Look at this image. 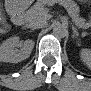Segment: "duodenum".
<instances>
[{"mask_svg":"<svg viewBox=\"0 0 91 91\" xmlns=\"http://www.w3.org/2000/svg\"><path fill=\"white\" fill-rule=\"evenodd\" d=\"M13 13L15 14V24L19 27L22 26L24 24L23 13L21 11H14Z\"/></svg>","mask_w":91,"mask_h":91,"instance_id":"obj_1","label":"duodenum"}]
</instances>
